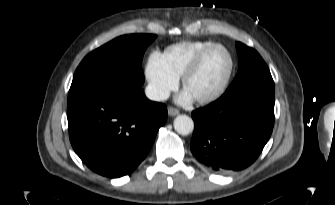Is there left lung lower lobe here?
Instances as JSON below:
<instances>
[{
  "label": "left lung lower lobe",
  "instance_id": "0a47b994",
  "mask_svg": "<svg viewBox=\"0 0 335 205\" xmlns=\"http://www.w3.org/2000/svg\"><path fill=\"white\" fill-rule=\"evenodd\" d=\"M274 103L273 91L245 87L226 91L215 102L193 111V155L219 172L248 167L271 136Z\"/></svg>",
  "mask_w": 335,
  "mask_h": 205
}]
</instances>
